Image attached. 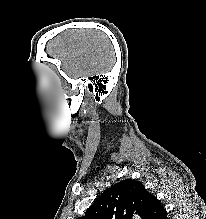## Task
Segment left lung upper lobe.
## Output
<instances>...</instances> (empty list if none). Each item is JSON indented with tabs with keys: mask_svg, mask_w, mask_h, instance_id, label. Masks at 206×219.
I'll list each match as a JSON object with an SVG mask.
<instances>
[{
	"mask_svg": "<svg viewBox=\"0 0 206 219\" xmlns=\"http://www.w3.org/2000/svg\"><path fill=\"white\" fill-rule=\"evenodd\" d=\"M153 197L140 182L126 179L105 190L77 219H131L134 211L147 219Z\"/></svg>",
	"mask_w": 206,
	"mask_h": 219,
	"instance_id": "obj_1",
	"label": "left lung upper lobe"
}]
</instances>
